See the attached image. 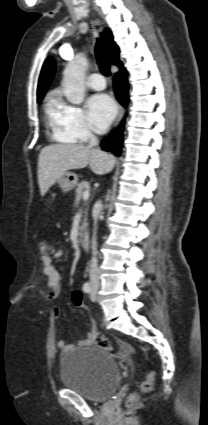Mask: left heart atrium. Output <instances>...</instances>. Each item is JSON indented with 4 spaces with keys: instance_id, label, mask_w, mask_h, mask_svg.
<instances>
[{
    "instance_id": "left-heart-atrium-1",
    "label": "left heart atrium",
    "mask_w": 208,
    "mask_h": 425,
    "mask_svg": "<svg viewBox=\"0 0 208 425\" xmlns=\"http://www.w3.org/2000/svg\"><path fill=\"white\" fill-rule=\"evenodd\" d=\"M88 119L92 128L104 132L116 115V105L106 94H96L87 101Z\"/></svg>"
}]
</instances>
